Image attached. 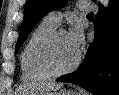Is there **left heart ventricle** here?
<instances>
[{"mask_svg":"<svg viewBox=\"0 0 119 95\" xmlns=\"http://www.w3.org/2000/svg\"><path fill=\"white\" fill-rule=\"evenodd\" d=\"M77 53L69 40L68 33H61L54 41L51 49L52 64L57 69L66 68L74 62Z\"/></svg>","mask_w":119,"mask_h":95,"instance_id":"obj_1","label":"left heart ventricle"}]
</instances>
